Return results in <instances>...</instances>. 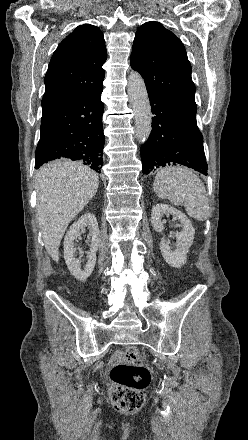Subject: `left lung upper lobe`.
Instances as JSON below:
<instances>
[{"mask_svg":"<svg viewBox=\"0 0 248 440\" xmlns=\"http://www.w3.org/2000/svg\"><path fill=\"white\" fill-rule=\"evenodd\" d=\"M131 67L138 71L148 94L159 96L190 119L196 120L195 85L181 40L159 22L138 28Z\"/></svg>","mask_w":248,"mask_h":440,"instance_id":"1","label":"left lung upper lobe"}]
</instances>
